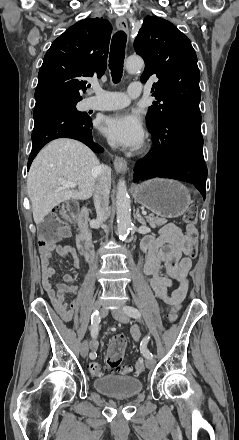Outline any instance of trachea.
<instances>
[{
    "label": "trachea",
    "instance_id": "1",
    "mask_svg": "<svg viewBox=\"0 0 239 440\" xmlns=\"http://www.w3.org/2000/svg\"><path fill=\"white\" fill-rule=\"evenodd\" d=\"M126 39V33L122 30H118V32L113 35L111 41L109 69L115 84L119 83L122 78Z\"/></svg>",
    "mask_w": 239,
    "mask_h": 440
}]
</instances>
